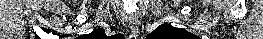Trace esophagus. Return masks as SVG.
Returning a JSON list of instances; mask_svg holds the SVG:
<instances>
[{"mask_svg":"<svg viewBox=\"0 0 263 39\" xmlns=\"http://www.w3.org/2000/svg\"><path fill=\"white\" fill-rule=\"evenodd\" d=\"M129 26L132 33L137 37L139 33V22L136 18L129 19Z\"/></svg>","mask_w":263,"mask_h":39,"instance_id":"obj_1","label":"esophagus"}]
</instances>
